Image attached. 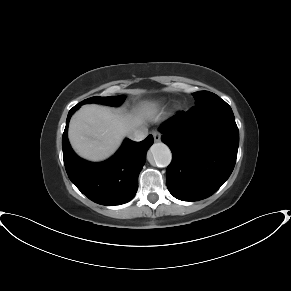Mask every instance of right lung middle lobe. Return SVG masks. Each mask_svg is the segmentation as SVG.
<instances>
[{"instance_id":"1","label":"right lung middle lobe","mask_w":291,"mask_h":291,"mask_svg":"<svg viewBox=\"0 0 291 291\" xmlns=\"http://www.w3.org/2000/svg\"><path fill=\"white\" fill-rule=\"evenodd\" d=\"M125 99L124 95L120 96H111V97H92L82 102L78 103L77 105L81 106L87 103H97V104H105V105H120Z\"/></svg>"}]
</instances>
